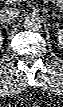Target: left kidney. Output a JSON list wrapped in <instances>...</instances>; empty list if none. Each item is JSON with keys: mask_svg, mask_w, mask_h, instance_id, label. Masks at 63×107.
Here are the masks:
<instances>
[{"mask_svg": "<svg viewBox=\"0 0 63 107\" xmlns=\"http://www.w3.org/2000/svg\"><path fill=\"white\" fill-rule=\"evenodd\" d=\"M57 39L60 45H63V30L62 29L58 30Z\"/></svg>", "mask_w": 63, "mask_h": 107, "instance_id": "left-kidney-1", "label": "left kidney"}]
</instances>
